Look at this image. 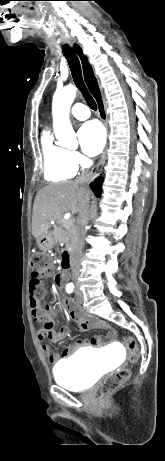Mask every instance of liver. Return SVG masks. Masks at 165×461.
I'll list each match as a JSON object with an SVG mask.
<instances>
[{
  "mask_svg": "<svg viewBox=\"0 0 165 461\" xmlns=\"http://www.w3.org/2000/svg\"><path fill=\"white\" fill-rule=\"evenodd\" d=\"M91 192L78 181L49 184L36 195L32 215V235L36 240L68 211L77 214L83 210Z\"/></svg>",
  "mask_w": 165,
  "mask_h": 461,
  "instance_id": "1",
  "label": "liver"
}]
</instances>
